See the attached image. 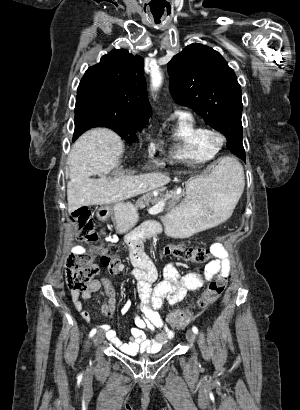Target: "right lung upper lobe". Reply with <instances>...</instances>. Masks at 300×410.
<instances>
[{
    "label": "right lung upper lobe",
    "mask_w": 300,
    "mask_h": 410,
    "mask_svg": "<svg viewBox=\"0 0 300 410\" xmlns=\"http://www.w3.org/2000/svg\"><path fill=\"white\" fill-rule=\"evenodd\" d=\"M144 60L126 50H113L85 72L78 89L101 94L110 113L143 123L152 115L143 76Z\"/></svg>",
    "instance_id": "obj_1"
}]
</instances>
